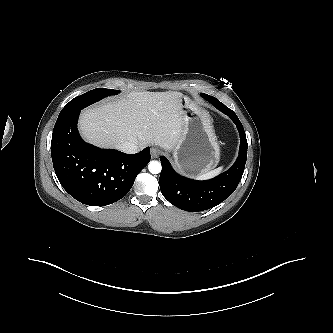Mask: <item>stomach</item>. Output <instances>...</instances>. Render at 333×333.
<instances>
[{
	"mask_svg": "<svg viewBox=\"0 0 333 333\" xmlns=\"http://www.w3.org/2000/svg\"><path fill=\"white\" fill-rule=\"evenodd\" d=\"M183 127L173 149L178 170L199 176L213 170L220 161V147L207 111L182 97Z\"/></svg>",
	"mask_w": 333,
	"mask_h": 333,
	"instance_id": "obj_1",
	"label": "stomach"
}]
</instances>
